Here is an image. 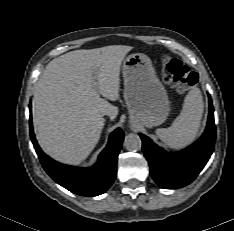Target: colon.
Returning <instances> with one entry per match:
<instances>
[{"mask_svg": "<svg viewBox=\"0 0 234 231\" xmlns=\"http://www.w3.org/2000/svg\"><path fill=\"white\" fill-rule=\"evenodd\" d=\"M161 75L166 84L179 92L192 90L198 84L197 74L184 66L180 60L171 56L162 58Z\"/></svg>", "mask_w": 234, "mask_h": 231, "instance_id": "1", "label": "colon"}]
</instances>
